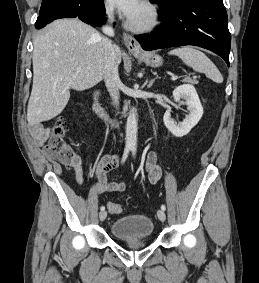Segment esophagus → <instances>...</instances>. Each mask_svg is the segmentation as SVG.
Returning a JSON list of instances; mask_svg holds the SVG:
<instances>
[{
    "label": "esophagus",
    "mask_w": 259,
    "mask_h": 283,
    "mask_svg": "<svg viewBox=\"0 0 259 283\" xmlns=\"http://www.w3.org/2000/svg\"><path fill=\"white\" fill-rule=\"evenodd\" d=\"M123 40L124 43L127 47V49L132 53V54H140L141 53V46L139 42L131 35L124 33L123 34Z\"/></svg>",
    "instance_id": "1"
}]
</instances>
